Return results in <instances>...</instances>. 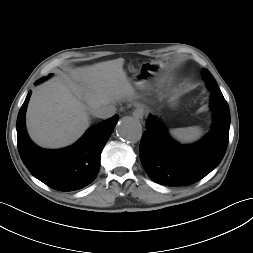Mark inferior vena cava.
I'll list each match as a JSON object with an SVG mask.
<instances>
[{
  "label": "inferior vena cava",
  "mask_w": 253,
  "mask_h": 253,
  "mask_svg": "<svg viewBox=\"0 0 253 253\" xmlns=\"http://www.w3.org/2000/svg\"><path fill=\"white\" fill-rule=\"evenodd\" d=\"M116 113L114 106H102L94 110V115L98 118L107 119Z\"/></svg>",
  "instance_id": "inferior-vena-cava-1"
}]
</instances>
